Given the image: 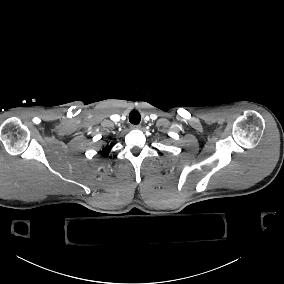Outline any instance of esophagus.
I'll use <instances>...</instances> for the list:
<instances>
[{
	"mask_svg": "<svg viewBox=\"0 0 284 284\" xmlns=\"http://www.w3.org/2000/svg\"><path fill=\"white\" fill-rule=\"evenodd\" d=\"M130 129L131 130H139V129H141V125L140 124H132V125H130Z\"/></svg>",
	"mask_w": 284,
	"mask_h": 284,
	"instance_id": "34e87169",
	"label": "esophagus"
}]
</instances>
